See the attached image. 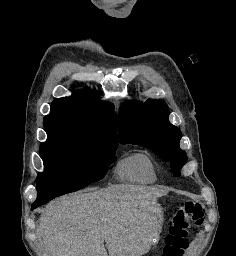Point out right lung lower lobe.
<instances>
[{
  "instance_id": "obj_1",
  "label": "right lung lower lobe",
  "mask_w": 236,
  "mask_h": 256,
  "mask_svg": "<svg viewBox=\"0 0 236 256\" xmlns=\"http://www.w3.org/2000/svg\"><path fill=\"white\" fill-rule=\"evenodd\" d=\"M46 202H48V201L34 202V203L32 204L31 210L36 209L37 207L41 206L42 204H44V203H46Z\"/></svg>"
}]
</instances>
